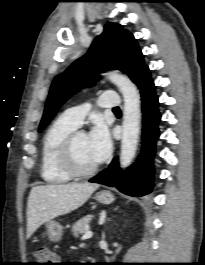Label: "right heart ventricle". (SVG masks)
I'll use <instances>...</instances> for the list:
<instances>
[{"label":"right heart ventricle","mask_w":205,"mask_h":265,"mask_svg":"<svg viewBox=\"0 0 205 265\" xmlns=\"http://www.w3.org/2000/svg\"><path fill=\"white\" fill-rule=\"evenodd\" d=\"M76 128V125L62 115L45 132L41 147L40 163V174L45 182L62 184L72 179V176L61 166L60 151L66 137Z\"/></svg>","instance_id":"1"}]
</instances>
